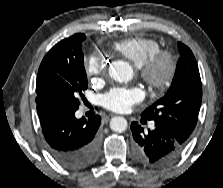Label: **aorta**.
<instances>
[{
	"label": "aorta",
	"instance_id": "obj_1",
	"mask_svg": "<svg viewBox=\"0 0 223 188\" xmlns=\"http://www.w3.org/2000/svg\"><path fill=\"white\" fill-rule=\"evenodd\" d=\"M109 75L117 82H126L132 79L133 69L129 63L117 60L109 67ZM128 123L124 117L116 116L110 121V128L115 132H124Z\"/></svg>",
	"mask_w": 223,
	"mask_h": 188
}]
</instances>
